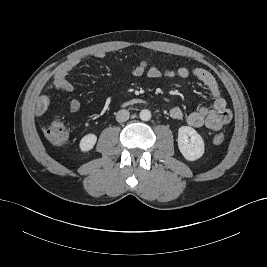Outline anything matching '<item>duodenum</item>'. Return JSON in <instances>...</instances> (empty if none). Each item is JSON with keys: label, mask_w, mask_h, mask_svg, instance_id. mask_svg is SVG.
Segmentation results:
<instances>
[{"label": "duodenum", "mask_w": 267, "mask_h": 267, "mask_svg": "<svg viewBox=\"0 0 267 267\" xmlns=\"http://www.w3.org/2000/svg\"><path fill=\"white\" fill-rule=\"evenodd\" d=\"M138 102H140V100H134L131 103L134 104V103H138Z\"/></svg>", "instance_id": "duodenum-1"}]
</instances>
